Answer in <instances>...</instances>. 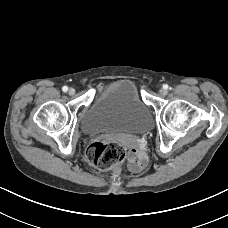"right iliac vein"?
I'll list each match as a JSON object with an SVG mask.
<instances>
[{
    "label": "right iliac vein",
    "mask_w": 228,
    "mask_h": 228,
    "mask_svg": "<svg viewBox=\"0 0 228 228\" xmlns=\"http://www.w3.org/2000/svg\"><path fill=\"white\" fill-rule=\"evenodd\" d=\"M69 95H74L75 94V89L73 88H70L69 91H68Z\"/></svg>",
    "instance_id": "obj_1"
}]
</instances>
